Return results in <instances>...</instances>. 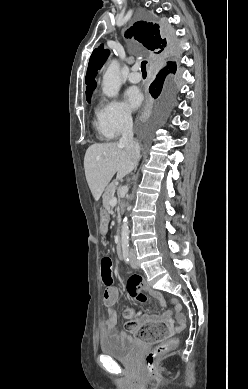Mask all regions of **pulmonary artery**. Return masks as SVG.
Returning <instances> with one entry per match:
<instances>
[{
	"label": "pulmonary artery",
	"mask_w": 248,
	"mask_h": 389,
	"mask_svg": "<svg viewBox=\"0 0 248 389\" xmlns=\"http://www.w3.org/2000/svg\"><path fill=\"white\" fill-rule=\"evenodd\" d=\"M128 80L131 83H138L141 80V74L138 72V66L134 65L128 74Z\"/></svg>",
	"instance_id": "obj_1"
}]
</instances>
